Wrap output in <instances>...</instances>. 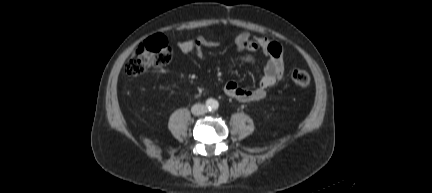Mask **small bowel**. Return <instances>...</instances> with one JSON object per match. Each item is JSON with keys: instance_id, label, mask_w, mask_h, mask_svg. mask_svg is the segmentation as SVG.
<instances>
[{"instance_id": "c3829d8e", "label": "small bowel", "mask_w": 432, "mask_h": 193, "mask_svg": "<svg viewBox=\"0 0 432 193\" xmlns=\"http://www.w3.org/2000/svg\"><path fill=\"white\" fill-rule=\"evenodd\" d=\"M235 44L239 50L248 51L249 54L243 56V59L248 62H253L254 58L250 54L255 51H261L267 58L264 65V73L259 82L258 87L254 89H246L238 85L235 81L229 80L224 85L226 95L241 101L255 102L263 99L267 91L285 79V63L283 59L282 45L277 41H271L267 38L258 37L251 38L247 32H242L235 38ZM216 40L199 36L190 40L182 41L177 44L178 49L182 53L202 54V47L217 46Z\"/></svg>"}]
</instances>
